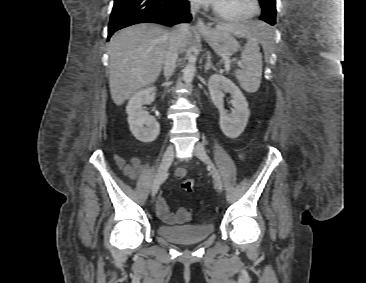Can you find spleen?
<instances>
[{"mask_svg":"<svg viewBox=\"0 0 366 283\" xmlns=\"http://www.w3.org/2000/svg\"><path fill=\"white\" fill-rule=\"evenodd\" d=\"M248 41L241 55L245 64L244 70H236V77L242 89L248 93L258 90L262 78V55L260 53L259 39L255 36L247 38ZM265 45V44H263Z\"/></svg>","mask_w":366,"mask_h":283,"instance_id":"1","label":"spleen"}]
</instances>
